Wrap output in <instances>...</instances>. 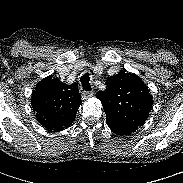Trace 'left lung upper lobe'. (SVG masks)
<instances>
[{
    "label": "left lung upper lobe",
    "mask_w": 183,
    "mask_h": 183,
    "mask_svg": "<svg viewBox=\"0 0 183 183\" xmlns=\"http://www.w3.org/2000/svg\"><path fill=\"white\" fill-rule=\"evenodd\" d=\"M106 90L96 93L101 101L107 124L138 129L144 124L153 104L147 86L139 76L120 71L106 81Z\"/></svg>",
    "instance_id": "left-lung-upper-lobe-1"
}]
</instances>
